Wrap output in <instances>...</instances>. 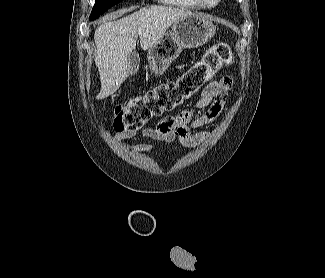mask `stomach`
Listing matches in <instances>:
<instances>
[{
    "label": "stomach",
    "mask_w": 325,
    "mask_h": 278,
    "mask_svg": "<svg viewBox=\"0 0 325 278\" xmlns=\"http://www.w3.org/2000/svg\"><path fill=\"white\" fill-rule=\"evenodd\" d=\"M216 32V26L202 15H191L176 21L172 29L148 49V62L155 74H161L183 49L206 44Z\"/></svg>",
    "instance_id": "stomach-1"
}]
</instances>
